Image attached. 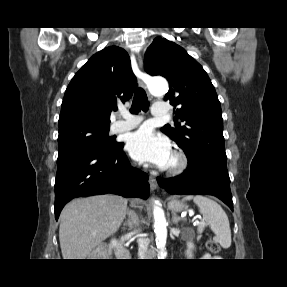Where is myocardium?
<instances>
[{
    "instance_id": "1",
    "label": "myocardium",
    "mask_w": 287,
    "mask_h": 287,
    "mask_svg": "<svg viewBox=\"0 0 287 287\" xmlns=\"http://www.w3.org/2000/svg\"><path fill=\"white\" fill-rule=\"evenodd\" d=\"M171 163L166 166V171L170 175H179L188 167V158L180 150H175L171 156Z\"/></svg>"
}]
</instances>
